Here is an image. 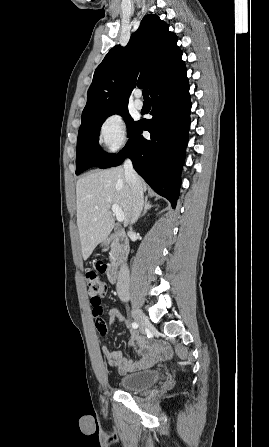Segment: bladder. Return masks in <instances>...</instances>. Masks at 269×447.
<instances>
[{
	"label": "bladder",
	"mask_w": 269,
	"mask_h": 447,
	"mask_svg": "<svg viewBox=\"0 0 269 447\" xmlns=\"http://www.w3.org/2000/svg\"><path fill=\"white\" fill-rule=\"evenodd\" d=\"M165 379L158 369H149L126 374L119 378V388L123 392H134L145 387H152Z\"/></svg>",
	"instance_id": "1"
}]
</instances>
